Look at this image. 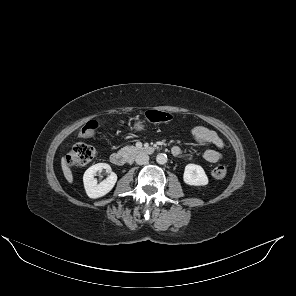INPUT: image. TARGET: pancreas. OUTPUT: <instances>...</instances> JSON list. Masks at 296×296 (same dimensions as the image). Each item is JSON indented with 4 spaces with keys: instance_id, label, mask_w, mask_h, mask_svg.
I'll return each instance as SVG.
<instances>
[{
    "instance_id": "pancreas-1",
    "label": "pancreas",
    "mask_w": 296,
    "mask_h": 296,
    "mask_svg": "<svg viewBox=\"0 0 296 296\" xmlns=\"http://www.w3.org/2000/svg\"><path fill=\"white\" fill-rule=\"evenodd\" d=\"M121 152L127 155H134L140 152V150L135 146H125L121 148Z\"/></svg>"
}]
</instances>
